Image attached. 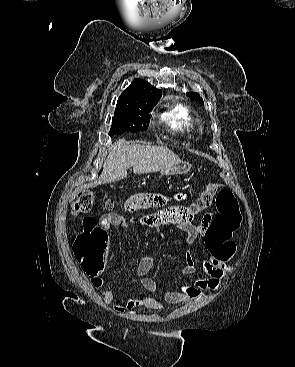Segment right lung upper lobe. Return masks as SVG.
Segmentation results:
<instances>
[{"label": "right lung upper lobe", "instance_id": "obj_1", "mask_svg": "<svg viewBox=\"0 0 295 367\" xmlns=\"http://www.w3.org/2000/svg\"><path fill=\"white\" fill-rule=\"evenodd\" d=\"M161 90L151 86L143 79H134L128 88L119 96L116 109H124L135 103L157 104Z\"/></svg>", "mask_w": 295, "mask_h": 367}]
</instances>
